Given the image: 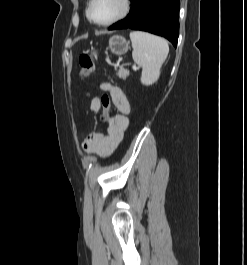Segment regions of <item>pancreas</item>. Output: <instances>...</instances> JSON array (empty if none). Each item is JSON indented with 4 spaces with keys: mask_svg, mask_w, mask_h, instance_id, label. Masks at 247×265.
<instances>
[{
    "mask_svg": "<svg viewBox=\"0 0 247 265\" xmlns=\"http://www.w3.org/2000/svg\"><path fill=\"white\" fill-rule=\"evenodd\" d=\"M117 75L119 78L125 80L129 76V71L121 66L117 72Z\"/></svg>",
    "mask_w": 247,
    "mask_h": 265,
    "instance_id": "1",
    "label": "pancreas"
}]
</instances>
